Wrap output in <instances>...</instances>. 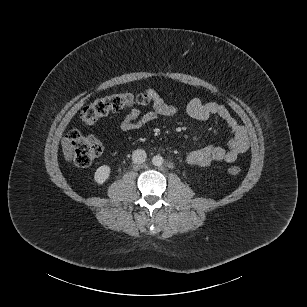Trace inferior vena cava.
<instances>
[{"label":"inferior vena cava","mask_w":307,"mask_h":307,"mask_svg":"<svg viewBox=\"0 0 307 307\" xmlns=\"http://www.w3.org/2000/svg\"><path fill=\"white\" fill-rule=\"evenodd\" d=\"M147 158L146 152L143 149H136L132 154V161L136 164L143 163Z\"/></svg>","instance_id":"1"}]
</instances>
